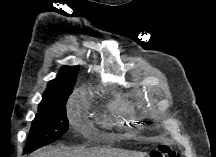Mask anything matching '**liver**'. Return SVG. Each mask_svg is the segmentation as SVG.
Returning a JSON list of instances; mask_svg holds the SVG:
<instances>
[{
	"instance_id": "6515ba94",
	"label": "liver",
	"mask_w": 216,
	"mask_h": 157,
	"mask_svg": "<svg viewBox=\"0 0 216 157\" xmlns=\"http://www.w3.org/2000/svg\"><path fill=\"white\" fill-rule=\"evenodd\" d=\"M146 153L128 152L116 149L62 150L47 147L31 154V157H145Z\"/></svg>"
}]
</instances>
